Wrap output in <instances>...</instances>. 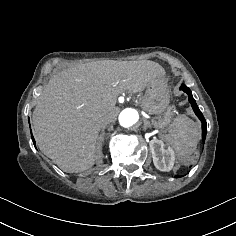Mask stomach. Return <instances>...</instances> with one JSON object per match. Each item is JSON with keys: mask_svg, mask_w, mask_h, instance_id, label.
<instances>
[{"mask_svg": "<svg viewBox=\"0 0 236 236\" xmlns=\"http://www.w3.org/2000/svg\"><path fill=\"white\" fill-rule=\"evenodd\" d=\"M170 102V94L167 84L163 80H155L148 83L142 98L143 107L152 114L163 112Z\"/></svg>", "mask_w": 236, "mask_h": 236, "instance_id": "obj_1", "label": "stomach"}]
</instances>
